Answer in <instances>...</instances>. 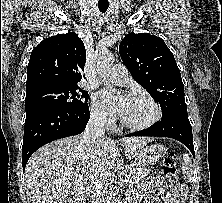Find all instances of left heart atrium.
I'll return each mask as SVG.
<instances>
[{
  "instance_id": "obj_1",
  "label": "left heart atrium",
  "mask_w": 222,
  "mask_h": 203,
  "mask_svg": "<svg viewBox=\"0 0 222 203\" xmlns=\"http://www.w3.org/2000/svg\"><path fill=\"white\" fill-rule=\"evenodd\" d=\"M100 95L106 105H108L113 111L119 114L122 113L128 96L113 90H103Z\"/></svg>"
}]
</instances>
